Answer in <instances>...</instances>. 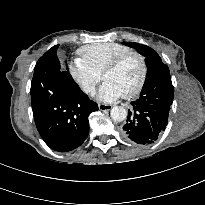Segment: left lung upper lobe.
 Listing matches in <instances>:
<instances>
[{
	"instance_id": "1",
	"label": "left lung upper lobe",
	"mask_w": 205,
	"mask_h": 205,
	"mask_svg": "<svg viewBox=\"0 0 205 205\" xmlns=\"http://www.w3.org/2000/svg\"><path fill=\"white\" fill-rule=\"evenodd\" d=\"M123 44L137 49L145 56L147 75L138 100L170 106L173 102L174 88L168 66L162 63L160 56L152 48L146 45L134 42H123Z\"/></svg>"
}]
</instances>
